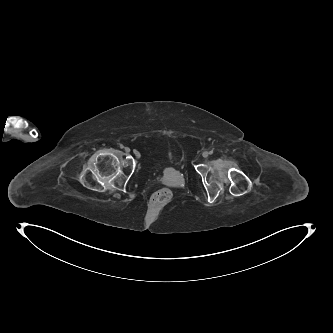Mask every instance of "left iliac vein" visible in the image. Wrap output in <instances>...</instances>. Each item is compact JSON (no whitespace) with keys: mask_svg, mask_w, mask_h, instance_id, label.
I'll list each match as a JSON object with an SVG mask.
<instances>
[{"mask_svg":"<svg viewBox=\"0 0 333 333\" xmlns=\"http://www.w3.org/2000/svg\"><path fill=\"white\" fill-rule=\"evenodd\" d=\"M208 155H209V153H208L207 151H204V152L202 153V156H203L204 158L208 157Z\"/></svg>","mask_w":333,"mask_h":333,"instance_id":"4c4485c4","label":"left iliac vein"}]
</instances>
